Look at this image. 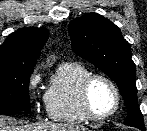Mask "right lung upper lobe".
<instances>
[{
  "label": "right lung upper lobe",
  "instance_id": "cb5924a9",
  "mask_svg": "<svg viewBox=\"0 0 147 131\" xmlns=\"http://www.w3.org/2000/svg\"><path fill=\"white\" fill-rule=\"evenodd\" d=\"M49 33L45 28L20 29L0 46V69H33Z\"/></svg>",
  "mask_w": 147,
  "mask_h": 131
}]
</instances>
